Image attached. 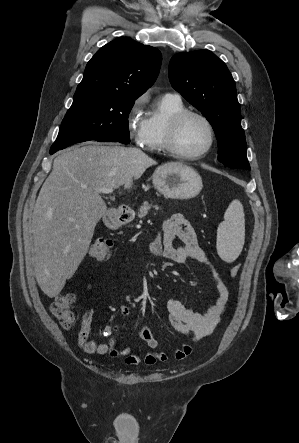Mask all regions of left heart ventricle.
<instances>
[{"label": "left heart ventricle", "mask_w": 299, "mask_h": 443, "mask_svg": "<svg viewBox=\"0 0 299 443\" xmlns=\"http://www.w3.org/2000/svg\"><path fill=\"white\" fill-rule=\"evenodd\" d=\"M209 141L206 124L197 117H188L181 125L177 146L186 154H197L203 151Z\"/></svg>", "instance_id": "1"}]
</instances>
